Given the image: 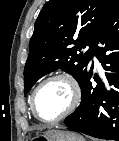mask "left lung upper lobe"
I'll return each mask as SVG.
<instances>
[{
  "label": "left lung upper lobe",
  "instance_id": "left-lung-upper-lobe-1",
  "mask_svg": "<svg viewBox=\"0 0 119 141\" xmlns=\"http://www.w3.org/2000/svg\"><path fill=\"white\" fill-rule=\"evenodd\" d=\"M118 9L119 0L48 1L35 22L29 44L25 93L38 79L59 68L81 85L89 71L95 38ZM86 46L90 48L85 54H77Z\"/></svg>",
  "mask_w": 119,
  "mask_h": 141
}]
</instances>
